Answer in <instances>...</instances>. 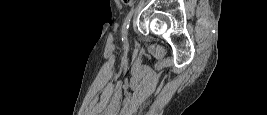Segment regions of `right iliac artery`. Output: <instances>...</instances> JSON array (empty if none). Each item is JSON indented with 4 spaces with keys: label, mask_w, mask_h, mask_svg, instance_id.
I'll return each instance as SVG.
<instances>
[{
    "label": "right iliac artery",
    "mask_w": 267,
    "mask_h": 115,
    "mask_svg": "<svg viewBox=\"0 0 267 115\" xmlns=\"http://www.w3.org/2000/svg\"><path fill=\"white\" fill-rule=\"evenodd\" d=\"M133 12H134V10L132 9L129 13H128V15H127V17H126V19H125V22H124V25H123V28H122V40H126L127 38H126V34H127V30H128V28H129V24H130V20H131V17H132V15H133Z\"/></svg>",
    "instance_id": "obj_1"
}]
</instances>
